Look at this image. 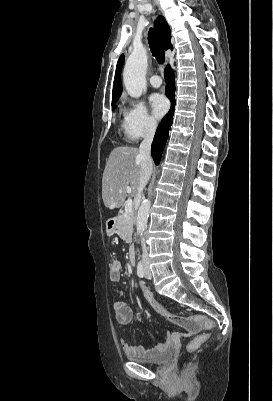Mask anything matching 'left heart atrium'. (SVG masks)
<instances>
[{
	"instance_id": "obj_1",
	"label": "left heart atrium",
	"mask_w": 273,
	"mask_h": 401,
	"mask_svg": "<svg viewBox=\"0 0 273 401\" xmlns=\"http://www.w3.org/2000/svg\"><path fill=\"white\" fill-rule=\"evenodd\" d=\"M149 105L156 118L162 117L169 109L167 99L160 94H153L149 97Z\"/></svg>"
}]
</instances>
